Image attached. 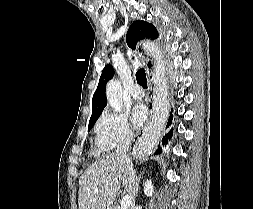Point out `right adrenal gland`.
Wrapping results in <instances>:
<instances>
[{"label": "right adrenal gland", "mask_w": 253, "mask_h": 209, "mask_svg": "<svg viewBox=\"0 0 253 209\" xmlns=\"http://www.w3.org/2000/svg\"><path fill=\"white\" fill-rule=\"evenodd\" d=\"M141 175L139 176H136V195L138 194V191H139V183H140V180H141Z\"/></svg>", "instance_id": "2a0ac1e0"}]
</instances>
